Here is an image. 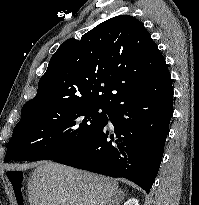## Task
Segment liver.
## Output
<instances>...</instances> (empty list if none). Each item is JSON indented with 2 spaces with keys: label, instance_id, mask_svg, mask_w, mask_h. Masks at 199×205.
I'll use <instances>...</instances> for the list:
<instances>
[{
  "label": "liver",
  "instance_id": "6515ba94",
  "mask_svg": "<svg viewBox=\"0 0 199 205\" xmlns=\"http://www.w3.org/2000/svg\"><path fill=\"white\" fill-rule=\"evenodd\" d=\"M30 205H119L114 179L51 161L36 164L28 183Z\"/></svg>",
  "mask_w": 199,
  "mask_h": 205
}]
</instances>
